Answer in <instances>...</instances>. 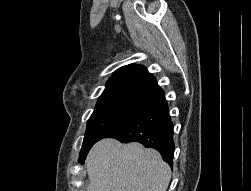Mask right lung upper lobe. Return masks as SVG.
Returning a JSON list of instances; mask_svg holds the SVG:
<instances>
[{
    "instance_id": "right-lung-upper-lobe-1",
    "label": "right lung upper lobe",
    "mask_w": 251,
    "mask_h": 191,
    "mask_svg": "<svg viewBox=\"0 0 251 191\" xmlns=\"http://www.w3.org/2000/svg\"><path fill=\"white\" fill-rule=\"evenodd\" d=\"M163 95L156 79L144 66L130 64L115 71L96 107L122 105L143 110Z\"/></svg>"
}]
</instances>
